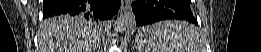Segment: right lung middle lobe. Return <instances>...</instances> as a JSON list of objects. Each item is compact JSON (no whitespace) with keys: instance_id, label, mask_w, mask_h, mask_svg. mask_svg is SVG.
Returning a JSON list of instances; mask_svg holds the SVG:
<instances>
[{"instance_id":"obj_1","label":"right lung middle lobe","mask_w":261,"mask_h":52,"mask_svg":"<svg viewBox=\"0 0 261 52\" xmlns=\"http://www.w3.org/2000/svg\"><path fill=\"white\" fill-rule=\"evenodd\" d=\"M69 16V17H68ZM78 20V21H85V22H89V24L92 25V27L94 28H100L102 26V24L90 17H87V16H82V15H67L65 17H62L61 20H66V21H69V20Z\"/></svg>"}]
</instances>
